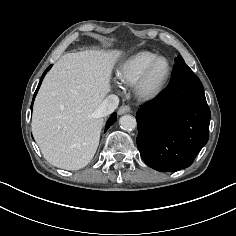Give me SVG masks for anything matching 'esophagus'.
<instances>
[{
  "instance_id": "34e87169",
  "label": "esophagus",
  "mask_w": 236,
  "mask_h": 236,
  "mask_svg": "<svg viewBox=\"0 0 236 236\" xmlns=\"http://www.w3.org/2000/svg\"><path fill=\"white\" fill-rule=\"evenodd\" d=\"M130 111H131V108L129 106L123 105L118 109V114L122 115V114H125V113H129Z\"/></svg>"
}]
</instances>
